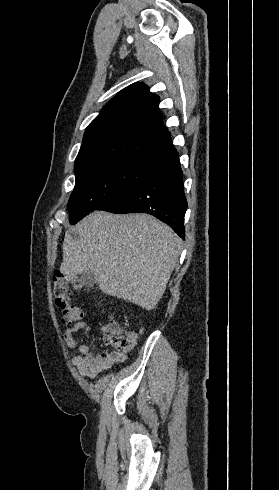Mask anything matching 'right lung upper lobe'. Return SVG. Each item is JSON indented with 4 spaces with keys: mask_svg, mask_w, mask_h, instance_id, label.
Here are the masks:
<instances>
[{
    "mask_svg": "<svg viewBox=\"0 0 279 490\" xmlns=\"http://www.w3.org/2000/svg\"><path fill=\"white\" fill-rule=\"evenodd\" d=\"M158 105L159 96L143 83L120 91L87 127L75 169L111 159L157 163L173 152Z\"/></svg>",
    "mask_w": 279,
    "mask_h": 490,
    "instance_id": "1",
    "label": "right lung upper lobe"
}]
</instances>
